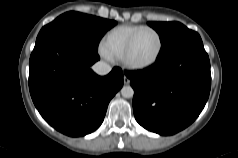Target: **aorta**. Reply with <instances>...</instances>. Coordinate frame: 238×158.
I'll use <instances>...</instances> for the list:
<instances>
[{"label":"aorta","mask_w":238,"mask_h":158,"mask_svg":"<svg viewBox=\"0 0 238 158\" xmlns=\"http://www.w3.org/2000/svg\"><path fill=\"white\" fill-rule=\"evenodd\" d=\"M121 94L124 98H131L133 97L134 90L131 86H124L121 89Z\"/></svg>","instance_id":"1"}]
</instances>
